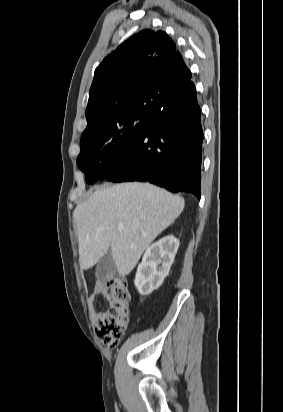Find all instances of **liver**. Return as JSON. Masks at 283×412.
Returning <instances> with one entry per match:
<instances>
[{
    "mask_svg": "<svg viewBox=\"0 0 283 412\" xmlns=\"http://www.w3.org/2000/svg\"><path fill=\"white\" fill-rule=\"evenodd\" d=\"M184 205L182 197L149 183H121L96 190L73 213L81 269L93 267L110 250L120 276L128 275Z\"/></svg>",
    "mask_w": 283,
    "mask_h": 412,
    "instance_id": "obj_1",
    "label": "liver"
}]
</instances>
